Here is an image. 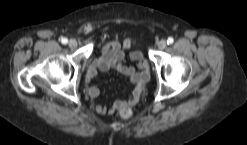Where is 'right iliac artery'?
<instances>
[{
  "label": "right iliac artery",
  "instance_id": "right-iliac-artery-1",
  "mask_svg": "<svg viewBox=\"0 0 247 145\" xmlns=\"http://www.w3.org/2000/svg\"><path fill=\"white\" fill-rule=\"evenodd\" d=\"M61 42H62V44H67V43H68V39H67V38H63V39L61 40Z\"/></svg>",
  "mask_w": 247,
  "mask_h": 145
}]
</instances>
